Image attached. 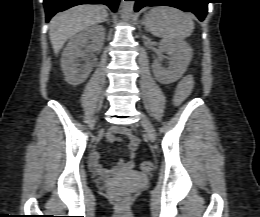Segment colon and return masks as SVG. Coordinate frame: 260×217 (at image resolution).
Masks as SVG:
<instances>
[{"mask_svg": "<svg viewBox=\"0 0 260 217\" xmlns=\"http://www.w3.org/2000/svg\"><path fill=\"white\" fill-rule=\"evenodd\" d=\"M140 167L144 172H149L152 170V164L150 162H142ZM111 194L113 195L115 201L120 205L127 204L129 200V195L122 190L119 189L112 190Z\"/></svg>", "mask_w": 260, "mask_h": 217, "instance_id": "colon-1", "label": "colon"}]
</instances>
